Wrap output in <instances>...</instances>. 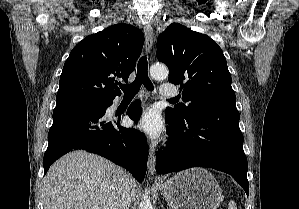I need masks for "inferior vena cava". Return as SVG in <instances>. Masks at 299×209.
I'll return each instance as SVG.
<instances>
[{
  "label": "inferior vena cava",
  "mask_w": 299,
  "mask_h": 209,
  "mask_svg": "<svg viewBox=\"0 0 299 209\" xmlns=\"http://www.w3.org/2000/svg\"><path fill=\"white\" fill-rule=\"evenodd\" d=\"M130 180H131V176L129 173L126 172V179L123 184V191L120 200L118 202L117 209H129L130 207L131 200H132Z\"/></svg>",
  "instance_id": "602c4592"
}]
</instances>
